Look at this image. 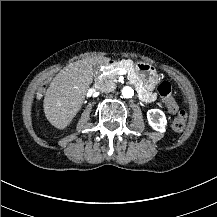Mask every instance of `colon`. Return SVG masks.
Segmentation results:
<instances>
[{
  "label": "colon",
  "mask_w": 217,
  "mask_h": 217,
  "mask_svg": "<svg viewBox=\"0 0 217 217\" xmlns=\"http://www.w3.org/2000/svg\"><path fill=\"white\" fill-rule=\"evenodd\" d=\"M158 93L166 103L169 111L174 113L173 129L181 131L187 123V112L183 108H179L176 101L172 98V85L169 81L163 80L158 85Z\"/></svg>",
  "instance_id": "5ec220e1"
}]
</instances>
